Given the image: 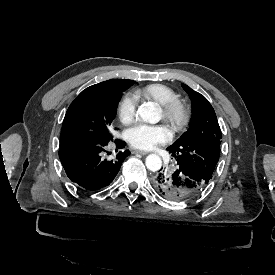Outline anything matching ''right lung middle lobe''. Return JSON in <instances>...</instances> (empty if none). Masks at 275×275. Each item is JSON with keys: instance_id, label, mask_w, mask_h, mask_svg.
Listing matches in <instances>:
<instances>
[{"instance_id": "obj_1", "label": "right lung middle lobe", "mask_w": 275, "mask_h": 275, "mask_svg": "<svg viewBox=\"0 0 275 275\" xmlns=\"http://www.w3.org/2000/svg\"><path fill=\"white\" fill-rule=\"evenodd\" d=\"M129 87L82 91L67 110L61 138L81 135L103 142L112 141L113 136L110 133L112 121L122 92Z\"/></svg>"}]
</instances>
